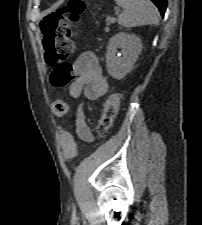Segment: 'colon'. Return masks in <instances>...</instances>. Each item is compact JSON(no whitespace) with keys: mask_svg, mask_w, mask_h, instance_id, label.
I'll return each mask as SVG.
<instances>
[{"mask_svg":"<svg viewBox=\"0 0 202 225\" xmlns=\"http://www.w3.org/2000/svg\"><path fill=\"white\" fill-rule=\"evenodd\" d=\"M84 11V0H69L57 11L46 16L40 25L44 44V60L47 67L52 69L50 80L56 88H64L73 78L68 57L73 51V43L70 34L75 30V24ZM121 94L110 93L103 105V113L100 117L96 132L98 137L105 138L116 118L121 102ZM69 106L65 99H57L53 102V113L57 116H65ZM63 155L67 161L75 158L76 144L70 134L62 136Z\"/></svg>","mask_w":202,"mask_h":225,"instance_id":"1","label":"colon"}]
</instances>
